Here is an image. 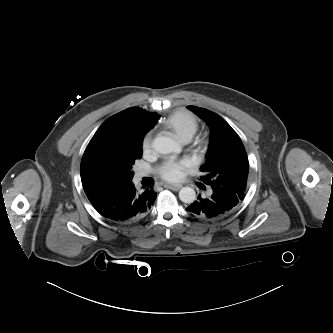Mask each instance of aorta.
I'll use <instances>...</instances> for the list:
<instances>
[{
    "instance_id": "1",
    "label": "aorta",
    "mask_w": 333,
    "mask_h": 333,
    "mask_svg": "<svg viewBox=\"0 0 333 333\" xmlns=\"http://www.w3.org/2000/svg\"><path fill=\"white\" fill-rule=\"evenodd\" d=\"M153 147L161 154H169L172 152L179 153L181 151V147L178 143L164 136L156 137L153 141ZM179 199L184 203L191 204L196 199V192L191 187H183L179 191Z\"/></svg>"
}]
</instances>
